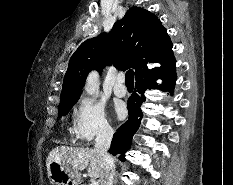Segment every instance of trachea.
I'll return each mask as SVG.
<instances>
[{
	"instance_id": "3493384b",
	"label": "trachea",
	"mask_w": 233,
	"mask_h": 185,
	"mask_svg": "<svg viewBox=\"0 0 233 185\" xmlns=\"http://www.w3.org/2000/svg\"><path fill=\"white\" fill-rule=\"evenodd\" d=\"M125 83L126 84H134V74L133 70H128L125 75Z\"/></svg>"
}]
</instances>
